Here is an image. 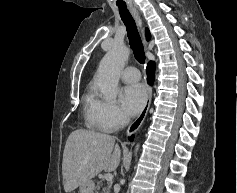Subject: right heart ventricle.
<instances>
[{"label": "right heart ventricle", "mask_w": 237, "mask_h": 193, "mask_svg": "<svg viewBox=\"0 0 237 193\" xmlns=\"http://www.w3.org/2000/svg\"><path fill=\"white\" fill-rule=\"evenodd\" d=\"M96 101L93 89L89 88L83 97L84 114L90 127L101 130L95 111Z\"/></svg>", "instance_id": "e07e8e85"}]
</instances>
